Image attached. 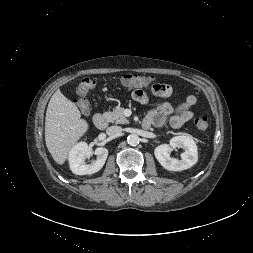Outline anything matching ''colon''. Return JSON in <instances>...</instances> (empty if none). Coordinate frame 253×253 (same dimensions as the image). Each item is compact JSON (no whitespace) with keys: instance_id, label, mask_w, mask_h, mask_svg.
I'll list each match as a JSON object with an SVG mask.
<instances>
[{"instance_id":"1","label":"colon","mask_w":253,"mask_h":253,"mask_svg":"<svg viewBox=\"0 0 253 253\" xmlns=\"http://www.w3.org/2000/svg\"><path fill=\"white\" fill-rule=\"evenodd\" d=\"M121 82L128 88H141L149 86L153 82V77L137 73H128L122 77ZM96 84V79L85 77L77 86V94L80 97L76 100V105L83 114H88L90 111V104L85 96L96 86ZM194 124L198 130L204 131L208 128L209 121L206 116H200L195 119Z\"/></svg>"}]
</instances>
